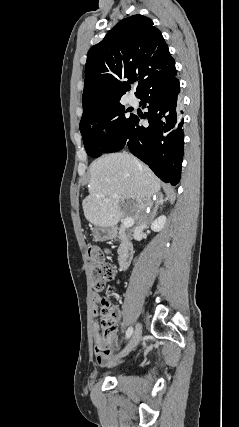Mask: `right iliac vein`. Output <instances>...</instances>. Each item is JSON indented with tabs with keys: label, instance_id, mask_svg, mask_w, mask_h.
I'll return each mask as SVG.
<instances>
[{
	"label": "right iliac vein",
	"instance_id": "1",
	"mask_svg": "<svg viewBox=\"0 0 239 427\" xmlns=\"http://www.w3.org/2000/svg\"><path fill=\"white\" fill-rule=\"evenodd\" d=\"M141 334H142V326L140 323H138L136 325L135 331L130 339V341L128 342V344L126 345V347L123 349V351L120 353V357H124L126 355H128L132 350L135 349V347L138 345L140 339H141Z\"/></svg>",
	"mask_w": 239,
	"mask_h": 427
}]
</instances>
